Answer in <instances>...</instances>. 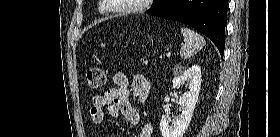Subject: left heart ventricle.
<instances>
[{
    "instance_id": "left-heart-ventricle-1",
    "label": "left heart ventricle",
    "mask_w": 280,
    "mask_h": 137,
    "mask_svg": "<svg viewBox=\"0 0 280 137\" xmlns=\"http://www.w3.org/2000/svg\"><path fill=\"white\" fill-rule=\"evenodd\" d=\"M116 6H130L136 3V0H114Z\"/></svg>"
}]
</instances>
